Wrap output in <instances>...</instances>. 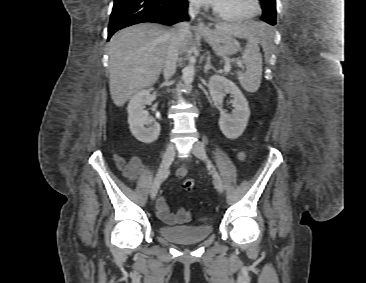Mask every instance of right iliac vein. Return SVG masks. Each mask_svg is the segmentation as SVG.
Instances as JSON below:
<instances>
[{"instance_id":"63e3f726","label":"right iliac vein","mask_w":366,"mask_h":283,"mask_svg":"<svg viewBox=\"0 0 366 283\" xmlns=\"http://www.w3.org/2000/svg\"><path fill=\"white\" fill-rule=\"evenodd\" d=\"M175 155V146L173 143H169L166 151L163 155L162 158V162L160 164V167L158 169V172L155 176L152 188H151V192H150V196L152 199H155V197L157 196L158 190L160 188V185L162 183V180L165 176V173L167 171V169L169 168V166L171 165L173 158Z\"/></svg>"}]
</instances>
